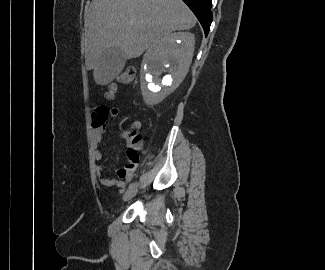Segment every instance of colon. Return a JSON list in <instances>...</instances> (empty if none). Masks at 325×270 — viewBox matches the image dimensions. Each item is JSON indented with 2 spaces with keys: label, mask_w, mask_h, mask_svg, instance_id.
Returning a JSON list of instances; mask_svg holds the SVG:
<instances>
[{
  "label": "colon",
  "mask_w": 325,
  "mask_h": 270,
  "mask_svg": "<svg viewBox=\"0 0 325 270\" xmlns=\"http://www.w3.org/2000/svg\"><path fill=\"white\" fill-rule=\"evenodd\" d=\"M136 75V69L133 66L127 67L122 74L117 78L116 82H111L107 85V90L105 92V98L109 101L113 100L116 96L118 90V84L130 85ZM141 139L140 135H133V142L137 143ZM139 160V155L136 150L131 155V165L135 164Z\"/></svg>",
  "instance_id": "5ec220e1"
}]
</instances>
